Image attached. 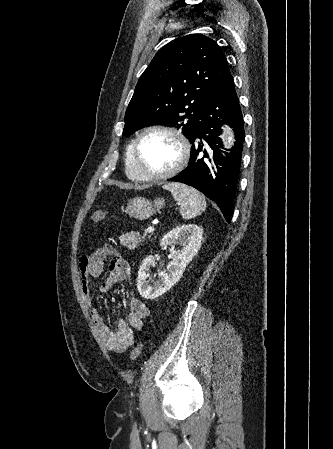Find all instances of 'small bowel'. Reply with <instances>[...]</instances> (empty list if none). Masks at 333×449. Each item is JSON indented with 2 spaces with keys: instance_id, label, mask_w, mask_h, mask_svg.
Here are the masks:
<instances>
[{
  "instance_id": "1",
  "label": "small bowel",
  "mask_w": 333,
  "mask_h": 449,
  "mask_svg": "<svg viewBox=\"0 0 333 449\" xmlns=\"http://www.w3.org/2000/svg\"><path fill=\"white\" fill-rule=\"evenodd\" d=\"M110 258L108 275L101 281L99 290L109 291L116 283L125 280L130 274L128 263L117 253L112 245H104L91 255H84L79 260L81 290L91 307V317L95 328L106 347L116 352H123L134 344L135 331L142 329L144 319L149 315V308L139 299L129 301L128 318H120L116 329H111L99 312L92 307L91 279L98 277L104 269V260Z\"/></svg>"
}]
</instances>
